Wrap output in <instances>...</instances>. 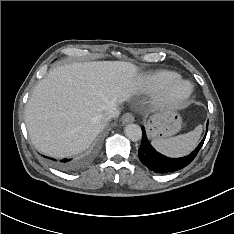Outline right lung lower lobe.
<instances>
[{
  "label": "right lung lower lobe",
  "instance_id": "right-lung-lower-lobe-1",
  "mask_svg": "<svg viewBox=\"0 0 234 234\" xmlns=\"http://www.w3.org/2000/svg\"><path fill=\"white\" fill-rule=\"evenodd\" d=\"M51 160L53 164L57 166L59 169L66 170V171H73V170L78 169L81 166V162L78 160H72V159H67V158L60 159V160L51 158Z\"/></svg>",
  "mask_w": 234,
  "mask_h": 234
}]
</instances>
